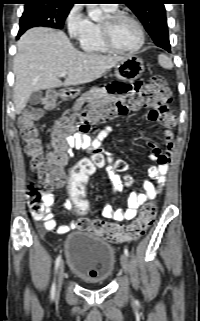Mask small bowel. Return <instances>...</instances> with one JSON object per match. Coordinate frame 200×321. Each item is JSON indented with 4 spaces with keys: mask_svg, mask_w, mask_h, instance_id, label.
<instances>
[{
    "mask_svg": "<svg viewBox=\"0 0 200 321\" xmlns=\"http://www.w3.org/2000/svg\"><path fill=\"white\" fill-rule=\"evenodd\" d=\"M144 88V83H132L123 82V80H114V82H109L108 86L99 93L80 100L78 105H81L85 101H103L106 105H117L119 102H124L126 98H134V96L139 94L138 90H144ZM170 117L171 115L168 113L165 107L153 108L146 114L147 120L160 121L165 125L166 129L164 130V136L166 140V148L163 150L156 144L149 142V146L151 148L149 158L150 160L156 162V164L151 166L148 170L150 179L143 181L142 191L130 192L127 197L126 209L114 208L110 204L105 205L101 211V214L104 218L111 219L115 222L130 221L136 217L138 208L143 203L154 199L158 195L159 188L162 187L166 182L168 162L173 145V134L171 132L170 125L168 124ZM111 131V127L106 126L94 135L78 132L67 134L64 138V144L67 148L64 164L70 155L69 150L71 149L84 150L88 154L99 156L104 161L106 160L112 163V157L109 154L104 153L102 150V143L109 136ZM115 163L116 162H113V164L109 167L108 177L112 184H114L116 187H120L122 185V181L121 178L115 173L117 170ZM151 180L156 181L157 185H154ZM64 183L65 178L63 177L56 181L53 187L59 188L63 186ZM43 200L48 209L46 214L43 217L38 218V220L43 221L42 229L44 231H54L58 234H66L69 231L79 227L78 222L57 225L56 221L54 220V216L50 211V208L54 204V194L51 190L44 193ZM63 207L66 210L72 209L70 198L66 200Z\"/></svg>",
    "mask_w": 200,
    "mask_h": 321,
    "instance_id": "obj_1",
    "label": "small bowel"
}]
</instances>
